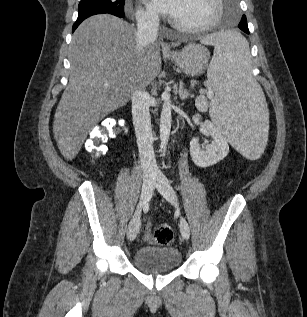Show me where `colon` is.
Returning <instances> with one entry per match:
<instances>
[{"instance_id": "colon-1", "label": "colon", "mask_w": 307, "mask_h": 317, "mask_svg": "<svg viewBox=\"0 0 307 317\" xmlns=\"http://www.w3.org/2000/svg\"><path fill=\"white\" fill-rule=\"evenodd\" d=\"M121 123L116 119H106L93 126L88 133L85 142L86 151L98 158L107 152V141L118 135ZM174 234L168 224H159L154 230V240L157 244L166 246L173 242Z\"/></svg>"}]
</instances>
